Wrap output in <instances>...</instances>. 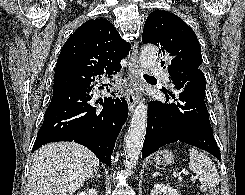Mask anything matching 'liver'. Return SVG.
<instances>
[{"instance_id":"1","label":"liver","mask_w":245,"mask_h":195,"mask_svg":"<svg viewBox=\"0 0 245 195\" xmlns=\"http://www.w3.org/2000/svg\"><path fill=\"white\" fill-rule=\"evenodd\" d=\"M99 166V159L75 142L49 143L33 156L30 195H73Z\"/></svg>"}]
</instances>
